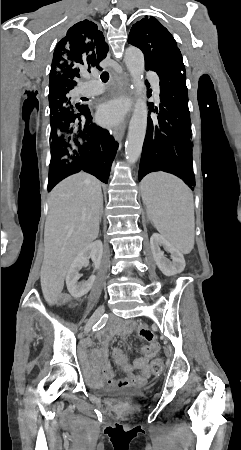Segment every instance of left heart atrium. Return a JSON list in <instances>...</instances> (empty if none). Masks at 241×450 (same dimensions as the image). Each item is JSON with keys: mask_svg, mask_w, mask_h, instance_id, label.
I'll return each instance as SVG.
<instances>
[{"mask_svg": "<svg viewBox=\"0 0 241 450\" xmlns=\"http://www.w3.org/2000/svg\"><path fill=\"white\" fill-rule=\"evenodd\" d=\"M127 104L123 100L110 101L101 106L98 113V120L104 126H113L122 121Z\"/></svg>", "mask_w": 241, "mask_h": 450, "instance_id": "1", "label": "left heart atrium"}]
</instances>
